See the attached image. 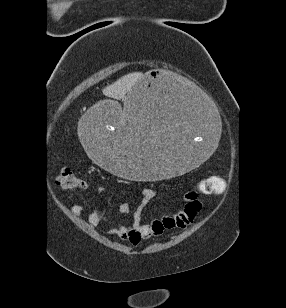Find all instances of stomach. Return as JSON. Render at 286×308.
<instances>
[{
  "label": "stomach",
  "instance_id": "1",
  "mask_svg": "<svg viewBox=\"0 0 286 308\" xmlns=\"http://www.w3.org/2000/svg\"><path fill=\"white\" fill-rule=\"evenodd\" d=\"M163 71L142 75L127 94L126 105L95 97L82 109L80 142L94 165L127 182H167L202 168L219 144L220 112Z\"/></svg>",
  "mask_w": 286,
  "mask_h": 308
}]
</instances>
